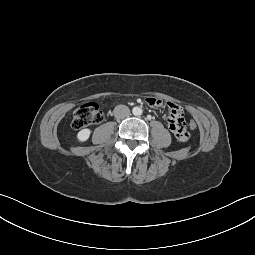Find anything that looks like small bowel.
Instances as JSON below:
<instances>
[{
    "label": "small bowel",
    "instance_id": "small-bowel-1",
    "mask_svg": "<svg viewBox=\"0 0 255 255\" xmlns=\"http://www.w3.org/2000/svg\"><path fill=\"white\" fill-rule=\"evenodd\" d=\"M143 103L164 111L165 127L172 137L180 142H187L190 139L185 111L173 100L161 99L157 95H146L143 98Z\"/></svg>",
    "mask_w": 255,
    "mask_h": 255
}]
</instances>
